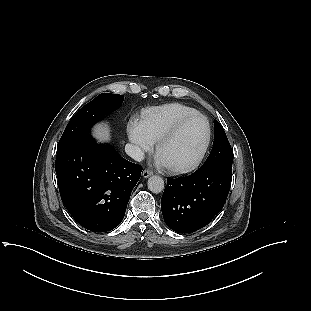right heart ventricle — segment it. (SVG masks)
I'll use <instances>...</instances> for the list:
<instances>
[{"label":"right heart ventricle","instance_id":"1","mask_svg":"<svg viewBox=\"0 0 311 311\" xmlns=\"http://www.w3.org/2000/svg\"><path fill=\"white\" fill-rule=\"evenodd\" d=\"M195 112L197 111L194 108L182 103L164 104L145 109L141 124L150 140L157 142L178 119Z\"/></svg>","mask_w":311,"mask_h":311}]
</instances>
